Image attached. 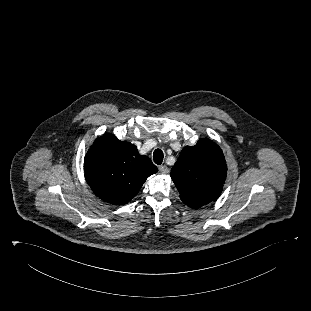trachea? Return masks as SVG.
I'll return each mask as SVG.
<instances>
[{
	"instance_id": "trachea-1",
	"label": "trachea",
	"mask_w": 311,
	"mask_h": 311,
	"mask_svg": "<svg viewBox=\"0 0 311 311\" xmlns=\"http://www.w3.org/2000/svg\"><path fill=\"white\" fill-rule=\"evenodd\" d=\"M163 158H164V155H163V152L161 149H156L153 153V159H154V162L157 164V165H160L163 161Z\"/></svg>"
}]
</instances>
